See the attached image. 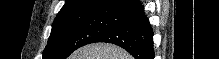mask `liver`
Returning a JSON list of instances; mask_svg holds the SVG:
<instances>
[{"instance_id":"liver-1","label":"liver","mask_w":219,"mask_h":59,"mask_svg":"<svg viewBox=\"0 0 219 59\" xmlns=\"http://www.w3.org/2000/svg\"><path fill=\"white\" fill-rule=\"evenodd\" d=\"M69 59H132V56L116 45L96 43L77 49Z\"/></svg>"}]
</instances>
